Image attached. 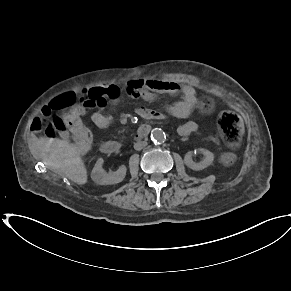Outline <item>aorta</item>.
<instances>
[{"label": "aorta", "mask_w": 291, "mask_h": 291, "mask_svg": "<svg viewBox=\"0 0 291 291\" xmlns=\"http://www.w3.org/2000/svg\"><path fill=\"white\" fill-rule=\"evenodd\" d=\"M151 139L155 144H161L165 141L166 136L162 129L155 128L151 132Z\"/></svg>", "instance_id": "1"}]
</instances>
